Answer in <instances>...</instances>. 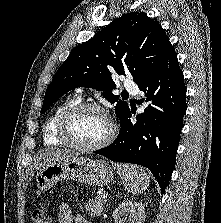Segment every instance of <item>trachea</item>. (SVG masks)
Masks as SVG:
<instances>
[{"mask_svg": "<svg viewBox=\"0 0 221 223\" xmlns=\"http://www.w3.org/2000/svg\"><path fill=\"white\" fill-rule=\"evenodd\" d=\"M123 95H124V96H126V95H128V93H127V92H125V93H123Z\"/></svg>", "mask_w": 221, "mask_h": 223, "instance_id": "3493384b", "label": "trachea"}]
</instances>
